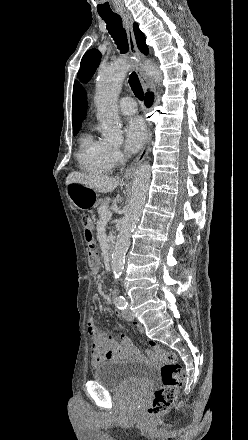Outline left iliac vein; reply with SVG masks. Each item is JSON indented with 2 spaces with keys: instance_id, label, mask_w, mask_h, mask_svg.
Instances as JSON below:
<instances>
[{
  "instance_id": "obj_1",
  "label": "left iliac vein",
  "mask_w": 248,
  "mask_h": 440,
  "mask_svg": "<svg viewBox=\"0 0 248 440\" xmlns=\"http://www.w3.org/2000/svg\"><path fill=\"white\" fill-rule=\"evenodd\" d=\"M122 316L127 320H132L134 318V315L130 310L129 306L125 310H123Z\"/></svg>"
}]
</instances>
